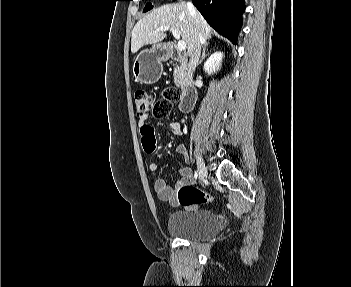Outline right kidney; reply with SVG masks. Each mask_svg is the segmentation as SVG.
<instances>
[{
	"label": "right kidney",
	"instance_id": "1",
	"mask_svg": "<svg viewBox=\"0 0 351 287\" xmlns=\"http://www.w3.org/2000/svg\"><path fill=\"white\" fill-rule=\"evenodd\" d=\"M222 59H223L222 52L213 53L204 63V67H203L204 71L208 75L213 74V72L215 73L220 69Z\"/></svg>",
	"mask_w": 351,
	"mask_h": 287
}]
</instances>
